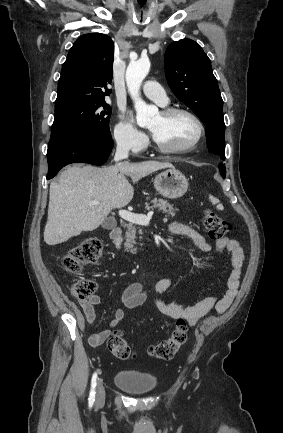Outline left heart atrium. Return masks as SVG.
Here are the masks:
<instances>
[{
    "label": "left heart atrium",
    "mask_w": 283,
    "mask_h": 433,
    "mask_svg": "<svg viewBox=\"0 0 283 433\" xmlns=\"http://www.w3.org/2000/svg\"><path fill=\"white\" fill-rule=\"evenodd\" d=\"M154 139L157 140V135L156 134H154Z\"/></svg>",
    "instance_id": "1"
}]
</instances>
